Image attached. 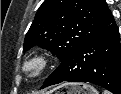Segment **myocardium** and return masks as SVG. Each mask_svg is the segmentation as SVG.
<instances>
[{"instance_id": "f54148a6", "label": "myocardium", "mask_w": 121, "mask_h": 94, "mask_svg": "<svg viewBox=\"0 0 121 94\" xmlns=\"http://www.w3.org/2000/svg\"><path fill=\"white\" fill-rule=\"evenodd\" d=\"M49 63L47 55L37 53L22 62V70L28 78L38 79L47 71Z\"/></svg>"}]
</instances>
